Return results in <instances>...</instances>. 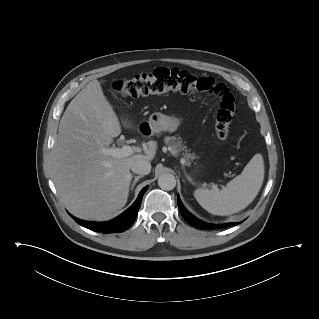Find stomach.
<instances>
[{"mask_svg": "<svg viewBox=\"0 0 319 319\" xmlns=\"http://www.w3.org/2000/svg\"><path fill=\"white\" fill-rule=\"evenodd\" d=\"M147 124L151 133H159L161 131L175 132L180 125V119L155 112L151 114Z\"/></svg>", "mask_w": 319, "mask_h": 319, "instance_id": "obj_1", "label": "stomach"}]
</instances>
